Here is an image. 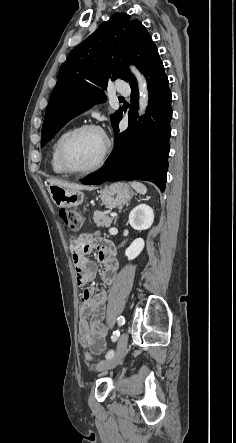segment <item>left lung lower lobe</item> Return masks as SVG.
<instances>
[{
	"label": "left lung lower lobe",
	"mask_w": 236,
	"mask_h": 443,
	"mask_svg": "<svg viewBox=\"0 0 236 443\" xmlns=\"http://www.w3.org/2000/svg\"><path fill=\"white\" fill-rule=\"evenodd\" d=\"M141 72L146 76L149 89V103L147 112L142 118L143 122L136 121L139 94L134 79L130 82L129 127L124 132H119L121 113L113 126L116 145L106 160V166L88 175L83 184L98 185L106 181L146 180L155 183L161 191H164L170 149L172 98L168 78L156 46L150 51Z\"/></svg>",
	"instance_id": "obj_1"
}]
</instances>
